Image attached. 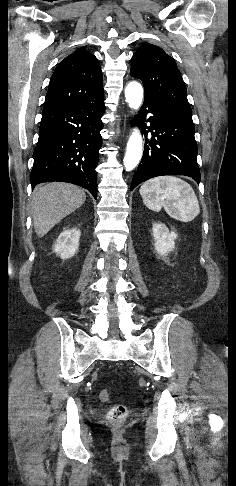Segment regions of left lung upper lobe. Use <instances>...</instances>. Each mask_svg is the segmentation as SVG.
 <instances>
[{"label": "left lung upper lobe", "instance_id": "obj_1", "mask_svg": "<svg viewBox=\"0 0 236 486\" xmlns=\"http://www.w3.org/2000/svg\"><path fill=\"white\" fill-rule=\"evenodd\" d=\"M130 75L143 82L145 97L188 119L192 110L175 60L156 45L143 43L132 56Z\"/></svg>", "mask_w": 236, "mask_h": 486}]
</instances>
